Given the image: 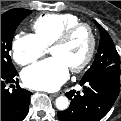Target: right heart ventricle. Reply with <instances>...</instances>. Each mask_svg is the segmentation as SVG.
<instances>
[{
  "label": "right heart ventricle",
  "instance_id": "obj_1",
  "mask_svg": "<svg viewBox=\"0 0 121 121\" xmlns=\"http://www.w3.org/2000/svg\"><path fill=\"white\" fill-rule=\"evenodd\" d=\"M80 19L69 13L46 14L32 24L34 35L48 47L70 26L80 23Z\"/></svg>",
  "mask_w": 121,
  "mask_h": 121
}]
</instances>
